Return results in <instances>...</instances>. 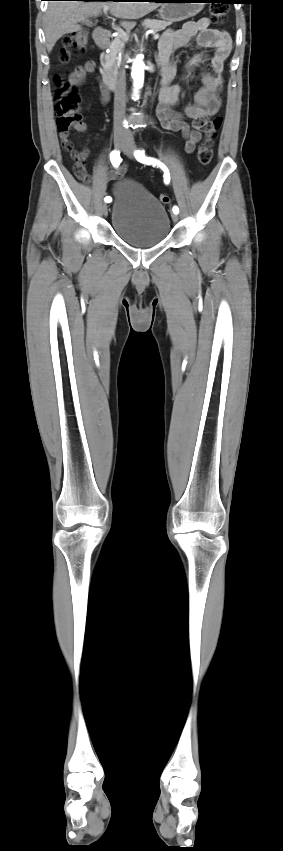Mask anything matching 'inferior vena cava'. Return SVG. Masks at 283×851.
<instances>
[{
  "label": "inferior vena cava",
  "instance_id": "obj_1",
  "mask_svg": "<svg viewBox=\"0 0 283 851\" xmlns=\"http://www.w3.org/2000/svg\"><path fill=\"white\" fill-rule=\"evenodd\" d=\"M126 84L125 77L120 74L115 86L114 95V130L115 132L127 133L123 127V119L126 110Z\"/></svg>",
  "mask_w": 283,
  "mask_h": 851
}]
</instances>
